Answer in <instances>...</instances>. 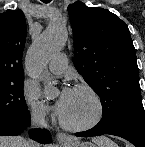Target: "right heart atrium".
<instances>
[{"label": "right heart atrium", "mask_w": 145, "mask_h": 147, "mask_svg": "<svg viewBox=\"0 0 145 147\" xmlns=\"http://www.w3.org/2000/svg\"><path fill=\"white\" fill-rule=\"evenodd\" d=\"M23 95L30 119L36 124H45L50 116L49 108L40 100L38 91L31 86H25Z\"/></svg>", "instance_id": "d8ad5b80"}]
</instances>
